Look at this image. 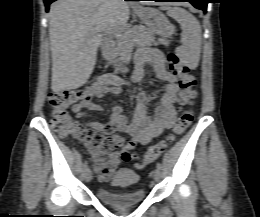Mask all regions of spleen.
I'll list each match as a JSON object with an SVG mask.
<instances>
[{"mask_svg":"<svg viewBox=\"0 0 260 217\" xmlns=\"http://www.w3.org/2000/svg\"><path fill=\"white\" fill-rule=\"evenodd\" d=\"M167 13L181 26L182 45L178 53L183 59H196L201 49V26L199 21L188 11L179 7H167Z\"/></svg>","mask_w":260,"mask_h":217,"instance_id":"1","label":"spleen"}]
</instances>
